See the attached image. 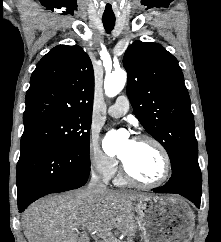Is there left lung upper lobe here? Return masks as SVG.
Segmentation results:
<instances>
[{"label":"left lung upper lobe","instance_id":"left-lung-upper-lobe-1","mask_svg":"<svg viewBox=\"0 0 221 242\" xmlns=\"http://www.w3.org/2000/svg\"><path fill=\"white\" fill-rule=\"evenodd\" d=\"M127 95L146 131L166 149L172 171L198 158L190 97L177 59L158 43L136 41L125 52Z\"/></svg>","mask_w":221,"mask_h":242}]
</instances>
